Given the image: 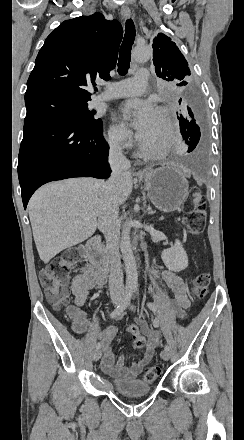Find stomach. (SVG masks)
Returning <instances> with one entry per match:
<instances>
[{"mask_svg": "<svg viewBox=\"0 0 244 440\" xmlns=\"http://www.w3.org/2000/svg\"><path fill=\"white\" fill-rule=\"evenodd\" d=\"M147 196L161 212H175L188 196L189 184L182 172L173 166H162L144 172Z\"/></svg>", "mask_w": 244, "mask_h": 440, "instance_id": "1", "label": "stomach"}]
</instances>
